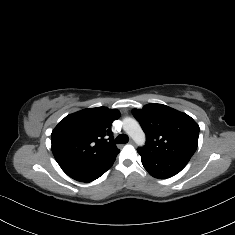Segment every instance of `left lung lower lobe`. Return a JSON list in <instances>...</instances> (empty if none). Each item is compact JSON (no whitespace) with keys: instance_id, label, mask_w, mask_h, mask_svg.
Listing matches in <instances>:
<instances>
[{"instance_id":"left-lung-lower-lobe-1","label":"left lung lower lobe","mask_w":235,"mask_h":235,"mask_svg":"<svg viewBox=\"0 0 235 235\" xmlns=\"http://www.w3.org/2000/svg\"><path fill=\"white\" fill-rule=\"evenodd\" d=\"M141 161L148 173L158 179H166L179 173L186 164L167 158L149 155L143 151H139Z\"/></svg>"}]
</instances>
